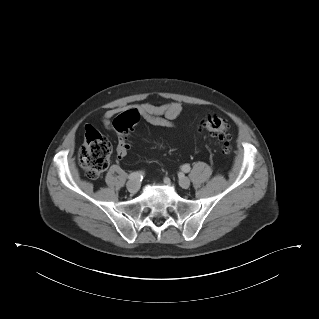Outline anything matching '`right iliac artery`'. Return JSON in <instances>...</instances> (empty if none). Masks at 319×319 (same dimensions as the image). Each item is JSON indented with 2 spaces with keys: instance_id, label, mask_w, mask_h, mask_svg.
<instances>
[{
  "instance_id": "82829eb1",
  "label": "right iliac artery",
  "mask_w": 319,
  "mask_h": 319,
  "mask_svg": "<svg viewBox=\"0 0 319 319\" xmlns=\"http://www.w3.org/2000/svg\"><path fill=\"white\" fill-rule=\"evenodd\" d=\"M143 172L142 171H137V172H132L129 174L128 178L130 180H137V179H142L143 178Z\"/></svg>"
}]
</instances>
